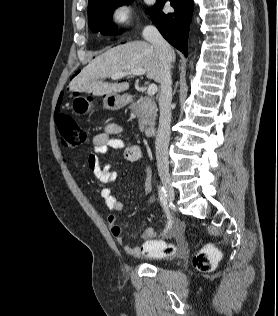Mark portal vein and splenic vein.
Segmentation results:
<instances>
[{
    "instance_id": "1",
    "label": "portal vein and splenic vein",
    "mask_w": 278,
    "mask_h": 316,
    "mask_svg": "<svg viewBox=\"0 0 278 316\" xmlns=\"http://www.w3.org/2000/svg\"><path fill=\"white\" fill-rule=\"evenodd\" d=\"M143 74H145V69L144 68H138V69L132 70L130 72H121V73L114 74V75L111 76V79H120V78H123V77H125L127 75H143ZM156 92H157V85L150 84L148 86V89H147V94L149 96H152Z\"/></svg>"
}]
</instances>
